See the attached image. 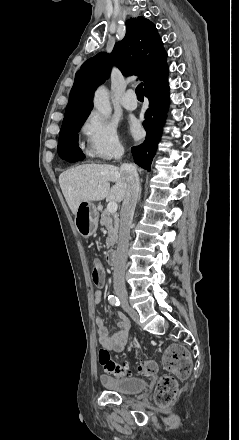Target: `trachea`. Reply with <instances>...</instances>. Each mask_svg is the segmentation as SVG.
I'll return each mask as SVG.
<instances>
[{
  "mask_svg": "<svg viewBox=\"0 0 239 440\" xmlns=\"http://www.w3.org/2000/svg\"><path fill=\"white\" fill-rule=\"evenodd\" d=\"M135 93L138 99H143V84L139 83V85L135 89Z\"/></svg>",
  "mask_w": 239,
  "mask_h": 440,
  "instance_id": "obj_1",
  "label": "trachea"
}]
</instances>
